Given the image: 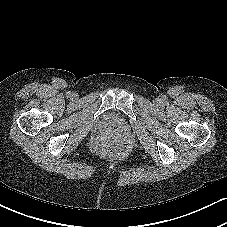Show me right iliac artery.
<instances>
[{
  "mask_svg": "<svg viewBox=\"0 0 227 227\" xmlns=\"http://www.w3.org/2000/svg\"><path fill=\"white\" fill-rule=\"evenodd\" d=\"M72 95L71 92H67V96L70 97Z\"/></svg>",
  "mask_w": 227,
  "mask_h": 227,
  "instance_id": "1",
  "label": "right iliac artery"
}]
</instances>
